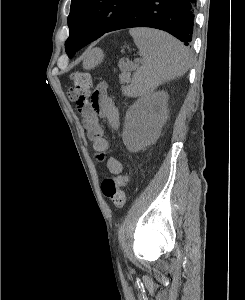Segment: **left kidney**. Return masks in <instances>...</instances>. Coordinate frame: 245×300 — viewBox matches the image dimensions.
I'll use <instances>...</instances> for the list:
<instances>
[{"instance_id":"5707ae66","label":"left kidney","mask_w":245,"mask_h":300,"mask_svg":"<svg viewBox=\"0 0 245 300\" xmlns=\"http://www.w3.org/2000/svg\"><path fill=\"white\" fill-rule=\"evenodd\" d=\"M167 117V96L157 93L134 103L126 112L123 142L127 149L137 152L159 134Z\"/></svg>"}]
</instances>
